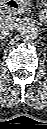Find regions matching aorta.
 <instances>
[{"instance_id":"aorta-1","label":"aorta","mask_w":47,"mask_h":129,"mask_svg":"<svg viewBox=\"0 0 47 129\" xmlns=\"http://www.w3.org/2000/svg\"><path fill=\"white\" fill-rule=\"evenodd\" d=\"M20 35L25 40H34L39 35V29L38 26L31 21L24 22L20 29H19Z\"/></svg>"}]
</instances>
